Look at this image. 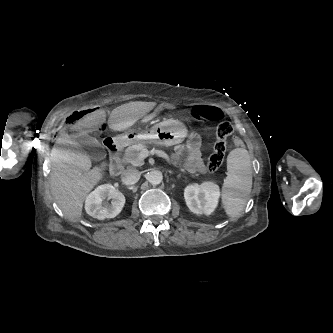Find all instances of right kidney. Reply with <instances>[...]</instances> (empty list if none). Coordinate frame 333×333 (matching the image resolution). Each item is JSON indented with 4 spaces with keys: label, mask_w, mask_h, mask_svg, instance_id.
<instances>
[{
    "label": "right kidney",
    "mask_w": 333,
    "mask_h": 333,
    "mask_svg": "<svg viewBox=\"0 0 333 333\" xmlns=\"http://www.w3.org/2000/svg\"><path fill=\"white\" fill-rule=\"evenodd\" d=\"M105 199H111V203L105 202ZM124 204L125 197L120 191L111 184H102L86 197L85 210L90 216L103 220L116 217Z\"/></svg>",
    "instance_id": "right-kidney-1"
}]
</instances>
